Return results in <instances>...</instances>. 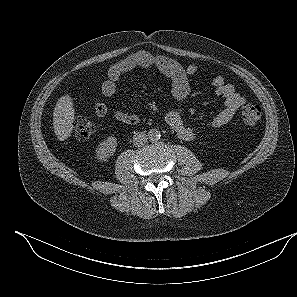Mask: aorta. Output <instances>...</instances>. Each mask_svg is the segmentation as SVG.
<instances>
[{
    "mask_svg": "<svg viewBox=\"0 0 297 297\" xmlns=\"http://www.w3.org/2000/svg\"><path fill=\"white\" fill-rule=\"evenodd\" d=\"M161 138V133L157 129H150L148 132V139L151 142H157Z\"/></svg>",
    "mask_w": 297,
    "mask_h": 297,
    "instance_id": "1",
    "label": "aorta"
}]
</instances>
